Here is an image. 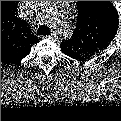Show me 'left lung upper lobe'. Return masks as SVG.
Segmentation results:
<instances>
[{
	"label": "left lung upper lobe",
	"mask_w": 121,
	"mask_h": 121,
	"mask_svg": "<svg viewBox=\"0 0 121 121\" xmlns=\"http://www.w3.org/2000/svg\"><path fill=\"white\" fill-rule=\"evenodd\" d=\"M73 36L60 44L72 58H84L105 49L115 37L118 15L109 1H78Z\"/></svg>",
	"instance_id": "1"
}]
</instances>
